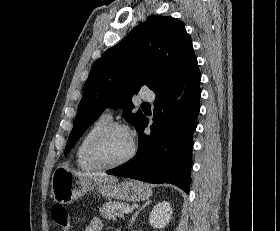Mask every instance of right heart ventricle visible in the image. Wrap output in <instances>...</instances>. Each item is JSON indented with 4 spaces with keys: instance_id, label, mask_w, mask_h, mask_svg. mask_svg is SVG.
<instances>
[{
    "instance_id": "1",
    "label": "right heart ventricle",
    "mask_w": 280,
    "mask_h": 231,
    "mask_svg": "<svg viewBox=\"0 0 280 231\" xmlns=\"http://www.w3.org/2000/svg\"><path fill=\"white\" fill-rule=\"evenodd\" d=\"M110 122V117L101 115L95 119L91 125L88 127L84 135L78 141L75 150L74 158L75 163L79 169L82 171H93L99 169L98 167L92 165L86 157V148L91 139V137L103 126Z\"/></svg>"
}]
</instances>
